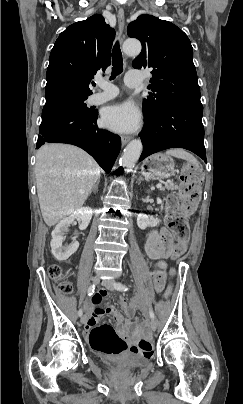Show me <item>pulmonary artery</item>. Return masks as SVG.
I'll return each instance as SVG.
<instances>
[{"instance_id":"obj_1","label":"pulmonary artery","mask_w":243,"mask_h":404,"mask_svg":"<svg viewBox=\"0 0 243 404\" xmlns=\"http://www.w3.org/2000/svg\"><path fill=\"white\" fill-rule=\"evenodd\" d=\"M95 82L97 91L91 95V104L100 105L117 96L118 88L114 84L102 77H97ZM124 83L128 87H138L141 85L139 80L128 77L127 75L124 77Z\"/></svg>"}]
</instances>
